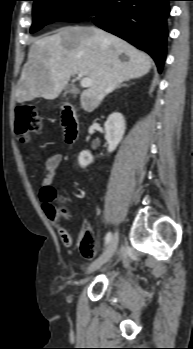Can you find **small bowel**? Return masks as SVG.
Listing matches in <instances>:
<instances>
[{"label":"small bowel","instance_id":"small-bowel-1","mask_svg":"<svg viewBox=\"0 0 193 349\" xmlns=\"http://www.w3.org/2000/svg\"><path fill=\"white\" fill-rule=\"evenodd\" d=\"M62 162V156L60 154H55L48 157L43 165L42 169V181L40 189V198L42 202L47 206L51 201H53L56 196V190L52 187L53 178L57 168ZM54 225L58 231L61 242L64 246L70 247L72 245V237L69 232L64 229L57 221H54ZM89 240H92L89 244ZM77 250L85 257L86 259H91L95 255V248L92 239V235L88 229V225L85 224L80 235Z\"/></svg>","mask_w":193,"mask_h":349}]
</instances>
